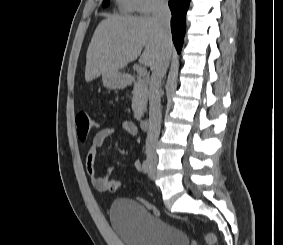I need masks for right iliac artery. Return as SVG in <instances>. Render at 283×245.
Returning <instances> with one entry per match:
<instances>
[{
	"label": "right iliac artery",
	"mask_w": 283,
	"mask_h": 245,
	"mask_svg": "<svg viewBox=\"0 0 283 245\" xmlns=\"http://www.w3.org/2000/svg\"><path fill=\"white\" fill-rule=\"evenodd\" d=\"M142 168H143V172H144L145 174H149V173L151 172V166H150V164L148 163L147 160H144V161H143Z\"/></svg>",
	"instance_id": "obj_1"
}]
</instances>
